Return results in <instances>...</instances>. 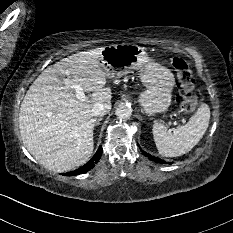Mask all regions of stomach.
Returning <instances> with one entry per match:
<instances>
[{"mask_svg":"<svg viewBox=\"0 0 233 233\" xmlns=\"http://www.w3.org/2000/svg\"><path fill=\"white\" fill-rule=\"evenodd\" d=\"M100 64L111 78L140 70V80L146 89L141 93L139 102L146 114L165 112L170 106L174 75L170 69L149 58L143 47L131 43L106 46L101 53Z\"/></svg>","mask_w":233,"mask_h":233,"instance_id":"obj_1","label":"stomach"}]
</instances>
